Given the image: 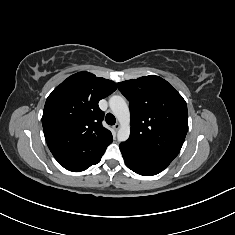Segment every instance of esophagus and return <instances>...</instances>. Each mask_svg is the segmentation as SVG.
<instances>
[{
    "label": "esophagus",
    "instance_id": "esophagus-1",
    "mask_svg": "<svg viewBox=\"0 0 235 235\" xmlns=\"http://www.w3.org/2000/svg\"><path fill=\"white\" fill-rule=\"evenodd\" d=\"M114 130L117 131L119 128H120V124L119 123H116L114 126H113Z\"/></svg>",
    "mask_w": 235,
    "mask_h": 235
}]
</instances>
